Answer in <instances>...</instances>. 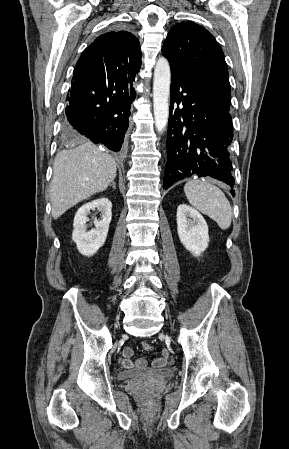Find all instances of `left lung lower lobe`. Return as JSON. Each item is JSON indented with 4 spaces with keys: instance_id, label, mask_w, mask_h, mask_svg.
Returning a JSON list of instances; mask_svg holds the SVG:
<instances>
[{
    "instance_id": "left-lung-lower-lobe-1",
    "label": "left lung lower lobe",
    "mask_w": 289,
    "mask_h": 449,
    "mask_svg": "<svg viewBox=\"0 0 289 449\" xmlns=\"http://www.w3.org/2000/svg\"><path fill=\"white\" fill-rule=\"evenodd\" d=\"M229 111L230 105L198 78L171 70L164 189L191 176L212 177L233 187Z\"/></svg>"
}]
</instances>
